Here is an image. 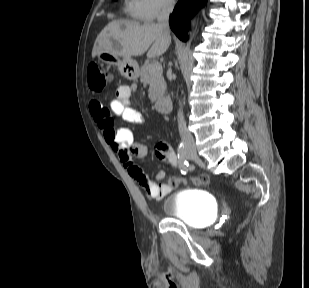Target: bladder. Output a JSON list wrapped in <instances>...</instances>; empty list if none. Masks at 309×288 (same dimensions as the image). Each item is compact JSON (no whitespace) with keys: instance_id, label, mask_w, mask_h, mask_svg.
Here are the masks:
<instances>
[{"instance_id":"1","label":"bladder","mask_w":309,"mask_h":288,"mask_svg":"<svg viewBox=\"0 0 309 288\" xmlns=\"http://www.w3.org/2000/svg\"><path fill=\"white\" fill-rule=\"evenodd\" d=\"M162 210L167 218H177L188 226L201 228L212 223L215 205L212 196L197 188H184L164 197Z\"/></svg>"}]
</instances>
